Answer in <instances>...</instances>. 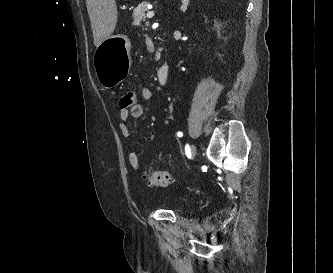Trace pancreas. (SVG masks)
I'll return each instance as SVG.
<instances>
[{"instance_id": "pancreas-1", "label": "pancreas", "mask_w": 333, "mask_h": 273, "mask_svg": "<svg viewBox=\"0 0 333 273\" xmlns=\"http://www.w3.org/2000/svg\"><path fill=\"white\" fill-rule=\"evenodd\" d=\"M147 2L141 3L138 5L137 8L133 11V25L140 26L141 21L145 18V12L147 11ZM160 57V54H156V59L158 60Z\"/></svg>"}]
</instances>
